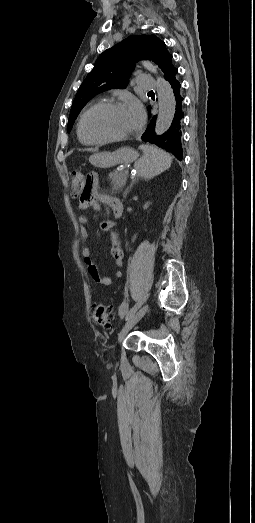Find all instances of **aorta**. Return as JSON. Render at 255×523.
Returning <instances> with one entry per match:
<instances>
[{
	"label": "aorta",
	"mask_w": 255,
	"mask_h": 523,
	"mask_svg": "<svg viewBox=\"0 0 255 523\" xmlns=\"http://www.w3.org/2000/svg\"><path fill=\"white\" fill-rule=\"evenodd\" d=\"M143 67L151 73L157 74L158 67L151 61H143ZM156 89L158 95L159 112L155 126L156 134H163L171 125L175 112V98L169 82L157 76Z\"/></svg>",
	"instance_id": "obj_1"
}]
</instances>
